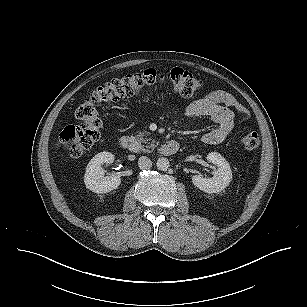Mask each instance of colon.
<instances>
[{"label":"colon","instance_id":"colon-1","mask_svg":"<svg viewBox=\"0 0 307 307\" xmlns=\"http://www.w3.org/2000/svg\"><path fill=\"white\" fill-rule=\"evenodd\" d=\"M201 86L197 76L182 68L167 71L148 69L115 78L94 89L78 106L75 115L81 125L69 126L62 131L60 147L70 157H79L94 146L100 138L102 127L97 107L103 103L138 96L158 87H169L180 96L191 97ZM239 145L253 150L259 147L260 138L257 133H249L240 137Z\"/></svg>","mask_w":307,"mask_h":307}]
</instances>
